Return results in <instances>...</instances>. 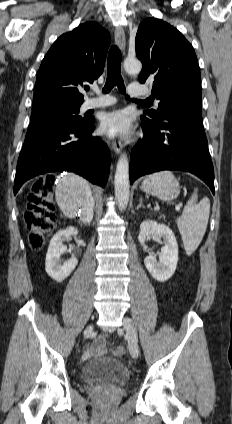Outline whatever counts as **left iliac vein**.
<instances>
[{
    "instance_id": "obj_1",
    "label": "left iliac vein",
    "mask_w": 232,
    "mask_h": 424,
    "mask_svg": "<svg viewBox=\"0 0 232 424\" xmlns=\"http://www.w3.org/2000/svg\"><path fill=\"white\" fill-rule=\"evenodd\" d=\"M123 324L128 338L130 353L132 357L136 359L139 356L138 335L136 327L133 321L127 317L123 319Z\"/></svg>"
}]
</instances>
